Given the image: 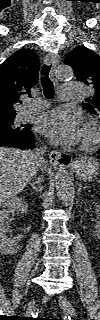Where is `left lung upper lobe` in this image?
<instances>
[{
    "instance_id": "obj_1",
    "label": "left lung upper lobe",
    "mask_w": 100,
    "mask_h": 320,
    "mask_svg": "<svg viewBox=\"0 0 100 320\" xmlns=\"http://www.w3.org/2000/svg\"><path fill=\"white\" fill-rule=\"evenodd\" d=\"M78 80L93 88V94L86 98L83 107L89 112L100 116V57L86 47L72 50L65 58Z\"/></svg>"
}]
</instances>
